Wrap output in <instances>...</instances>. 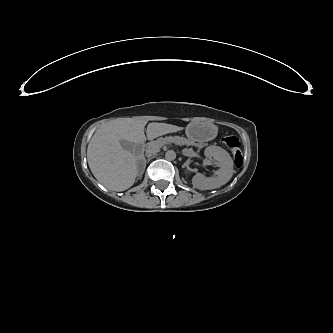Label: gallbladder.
<instances>
[{"label": "gallbladder", "instance_id": "gallbladder-1", "mask_svg": "<svg viewBox=\"0 0 333 333\" xmlns=\"http://www.w3.org/2000/svg\"><path fill=\"white\" fill-rule=\"evenodd\" d=\"M120 144L124 149L129 150V151H133V149L135 147V144L132 142H129V141H121Z\"/></svg>", "mask_w": 333, "mask_h": 333}]
</instances>
